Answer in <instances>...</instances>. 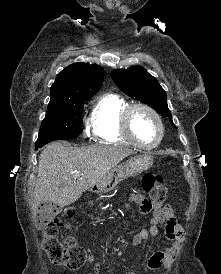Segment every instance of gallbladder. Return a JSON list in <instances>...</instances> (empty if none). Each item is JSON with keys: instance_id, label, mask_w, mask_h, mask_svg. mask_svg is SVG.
Returning a JSON list of instances; mask_svg holds the SVG:
<instances>
[{"instance_id": "obj_1", "label": "gallbladder", "mask_w": 221, "mask_h": 274, "mask_svg": "<svg viewBox=\"0 0 221 274\" xmlns=\"http://www.w3.org/2000/svg\"><path fill=\"white\" fill-rule=\"evenodd\" d=\"M62 206L52 205L51 203L45 202L40 206L38 211L39 219L43 221H49L62 211Z\"/></svg>"}]
</instances>
